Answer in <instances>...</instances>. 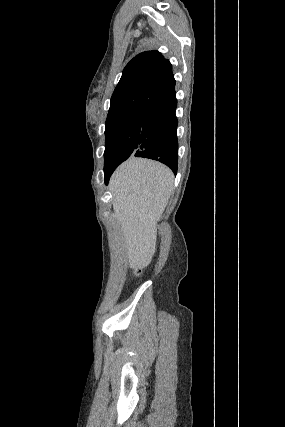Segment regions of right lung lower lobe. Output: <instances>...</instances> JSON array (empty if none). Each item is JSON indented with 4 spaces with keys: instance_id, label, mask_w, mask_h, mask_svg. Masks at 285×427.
I'll use <instances>...</instances> for the list:
<instances>
[{
    "instance_id": "98d812e1",
    "label": "right lung lower lobe",
    "mask_w": 285,
    "mask_h": 427,
    "mask_svg": "<svg viewBox=\"0 0 285 427\" xmlns=\"http://www.w3.org/2000/svg\"><path fill=\"white\" fill-rule=\"evenodd\" d=\"M176 93L151 106L145 114L135 157L157 160L176 174L178 166ZM114 170L104 172L107 184Z\"/></svg>"
}]
</instances>
